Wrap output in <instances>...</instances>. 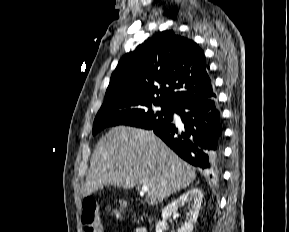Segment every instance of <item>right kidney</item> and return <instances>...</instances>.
<instances>
[{"label": "right kidney", "mask_w": 289, "mask_h": 232, "mask_svg": "<svg viewBox=\"0 0 289 232\" xmlns=\"http://www.w3.org/2000/svg\"><path fill=\"white\" fill-rule=\"evenodd\" d=\"M202 198V191L198 188H192L183 193L180 197H178L163 209L162 221H159L156 224V232H165L167 229L166 220L172 214L176 213L179 207L185 205V203H188L189 212L187 213L185 224L181 226L178 232H192L198 218Z\"/></svg>", "instance_id": "right-kidney-1"}]
</instances>
